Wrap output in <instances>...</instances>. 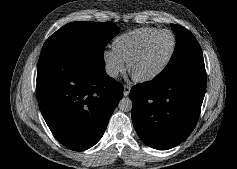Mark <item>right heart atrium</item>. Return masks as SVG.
Returning <instances> with one entry per match:
<instances>
[{
	"instance_id": "obj_1",
	"label": "right heart atrium",
	"mask_w": 237,
	"mask_h": 169,
	"mask_svg": "<svg viewBox=\"0 0 237 169\" xmlns=\"http://www.w3.org/2000/svg\"><path fill=\"white\" fill-rule=\"evenodd\" d=\"M103 61L107 73L112 77L118 76L125 69V62L114 50H105L103 52Z\"/></svg>"
}]
</instances>
